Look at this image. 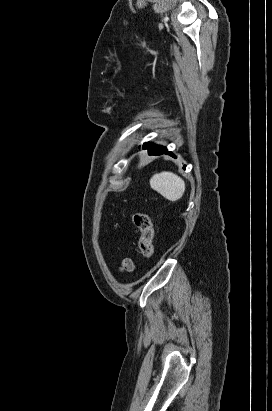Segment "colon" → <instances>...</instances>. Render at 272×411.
Instances as JSON below:
<instances>
[{
	"label": "colon",
	"mask_w": 272,
	"mask_h": 411,
	"mask_svg": "<svg viewBox=\"0 0 272 411\" xmlns=\"http://www.w3.org/2000/svg\"><path fill=\"white\" fill-rule=\"evenodd\" d=\"M133 221L139 231V249L145 258H151L154 254L153 227L150 217L144 211H136Z\"/></svg>",
	"instance_id": "1"
}]
</instances>
